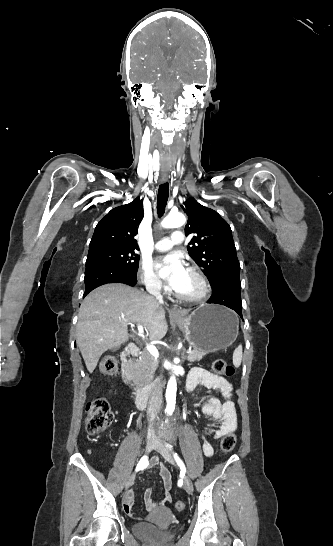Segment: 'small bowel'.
<instances>
[{
  "mask_svg": "<svg viewBox=\"0 0 333 546\" xmlns=\"http://www.w3.org/2000/svg\"><path fill=\"white\" fill-rule=\"evenodd\" d=\"M203 385L206 388L216 389L220 391L224 398L221 403L217 398L208 399L202 406V412L213 418L219 426L211 427L207 432V439L203 441L202 451L206 457H211L214 454V448L211 440L219 439L229 432H233L237 428V413L232 402L233 387L232 384L224 377L215 375L202 368H194L188 376L187 388L194 389L197 385ZM159 463L157 458H153L151 466ZM160 479L165 491V498L160 503H156L152 496V490L147 489L144 498L146 507L149 511L154 512L165 507L171 500L170 491L172 489L171 473L166 467H162L159 472ZM134 504V493L128 491L123 499V509L128 515H132V506Z\"/></svg>",
  "mask_w": 333,
  "mask_h": 546,
  "instance_id": "obj_1",
  "label": "small bowel"
}]
</instances>
